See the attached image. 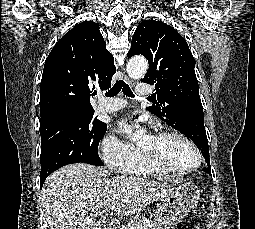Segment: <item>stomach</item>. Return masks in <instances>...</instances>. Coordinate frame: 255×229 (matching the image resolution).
Instances as JSON below:
<instances>
[{"label":"stomach","mask_w":255,"mask_h":229,"mask_svg":"<svg viewBox=\"0 0 255 229\" xmlns=\"http://www.w3.org/2000/svg\"><path fill=\"white\" fill-rule=\"evenodd\" d=\"M199 198L200 191L192 182L173 187L155 211V222L163 229H169L173 223L186 217L197 206Z\"/></svg>","instance_id":"0dacf381"}]
</instances>
